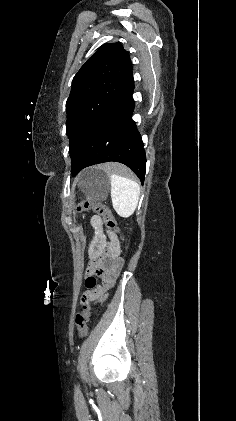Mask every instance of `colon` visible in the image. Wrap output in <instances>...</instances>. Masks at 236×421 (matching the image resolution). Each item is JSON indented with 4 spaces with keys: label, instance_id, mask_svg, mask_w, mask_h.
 <instances>
[{
    "label": "colon",
    "instance_id": "colon-1",
    "mask_svg": "<svg viewBox=\"0 0 236 421\" xmlns=\"http://www.w3.org/2000/svg\"><path fill=\"white\" fill-rule=\"evenodd\" d=\"M92 210L98 215H100L105 223V227L108 230H113L119 238V228L117 226L116 220L110 210L103 204L92 202V201H85L80 203L76 207V212L81 213L85 211ZM117 238V237H116ZM117 238V241H118ZM101 274V267L100 262L96 259L91 260L88 266V273L85 281V285L89 291H93L98 285V278ZM91 303L87 296L82 301V310L78 312L75 316V324L77 326L78 335L80 337H84L88 333V324L90 320L91 314Z\"/></svg>",
    "mask_w": 236,
    "mask_h": 421
}]
</instances>
